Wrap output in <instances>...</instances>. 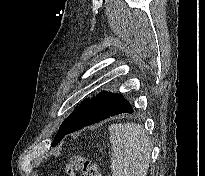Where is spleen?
Instances as JSON below:
<instances>
[{
  "instance_id": "obj_1",
  "label": "spleen",
  "mask_w": 205,
  "mask_h": 176,
  "mask_svg": "<svg viewBox=\"0 0 205 176\" xmlns=\"http://www.w3.org/2000/svg\"><path fill=\"white\" fill-rule=\"evenodd\" d=\"M112 144V176H146L151 146L142 125L135 123L109 126Z\"/></svg>"
}]
</instances>
